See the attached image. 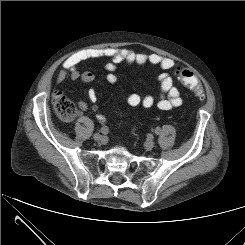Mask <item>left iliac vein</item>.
Instances as JSON below:
<instances>
[{"label": "left iliac vein", "mask_w": 245, "mask_h": 245, "mask_svg": "<svg viewBox=\"0 0 245 245\" xmlns=\"http://www.w3.org/2000/svg\"><path fill=\"white\" fill-rule=\"evenodd\" d=\"M144 146L147 150H152L154 147V141L152 139H147Z\"/></svg>", "instance_id": "left-iliac-vein-1"}]
</instances>
